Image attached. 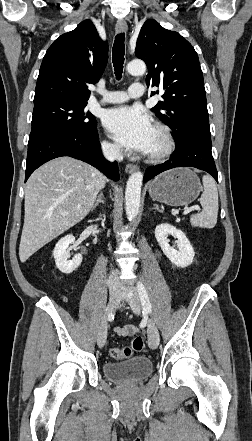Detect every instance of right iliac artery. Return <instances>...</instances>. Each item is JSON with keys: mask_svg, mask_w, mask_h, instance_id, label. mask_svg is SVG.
Wrapping results in <instances>:
<instances>
[{"mask_svg": "<svg viewBox=\"0 0 252 441\" xmlns=\"http://www.w3.org/2000/svg\"><path fill=\"white\" fill-rule=\"evenodd\" d=\"M128 296H129V298H130V296H131V293H129V294H128Z\"/></svg>", "mask_w": 252, "mask_h": 441, "instance_id": "obj_1", "label": "right iliac artery"}]
</instances>
